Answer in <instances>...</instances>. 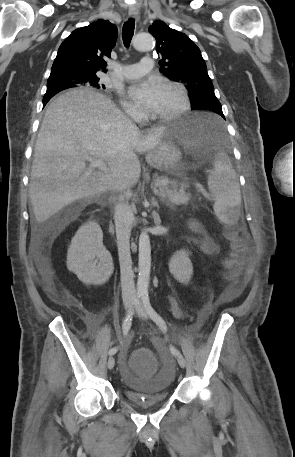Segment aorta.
<instances>
[{"instance_id": "762f6f07", "label": "aorta", "mask_w": 295, "mask_h": 457, "mask_svg": "<svg viewBox=\"0 0 295 457\" xmlns=\"http://www.w3.org/2000/svg\"><path fill=\"white\" fill-rule=\"evenodd\" d=\"M133 47L138 51L150 50L153 48V37L148 33H138L133 38ZM151 269V245L147 232H141L139 236V262L137 293L140 295L148 293L149 277Z\"/></svg>"}]
</instances>
